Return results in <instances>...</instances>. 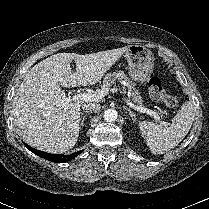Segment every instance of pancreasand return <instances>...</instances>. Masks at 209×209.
I'll return each instance as SVG.
<instances>
[{"label":"pancreas","instance_id":"pancreas-1","mask_svg":"<svg viewBox=\"0 0 209 209\" xmlns=\"http://www.w3.org/2000/svg\"><path fill=\"white\" fill-rule=\"evenodd\" d=\"M116 80L125 83L131 93L132 100L135 104H137L138 106L143 105V100L141 99L139 91L135 88V84L123 71L106 74L103 78L101 89H99V91H104L105 93H108L112 84H114Z\"/></svg>","mask_w":209,"mask_h":209}]
</instances>
